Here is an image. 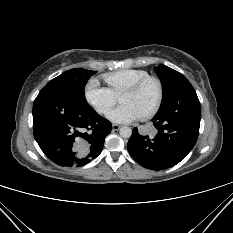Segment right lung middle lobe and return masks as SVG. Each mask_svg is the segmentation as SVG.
<instances>
[{"instance_id":"1","label":"right lung middle lobe","mask_w":233,"mask_h":233,"mask_svg":"<svg viewBox=\"0 0 233 233\" xmlns=\"http://www.w3.org/2000/svg\"><path fill=\"white\" fill-rule=\"evenodd\" d=\"M95 73L96 71L81 68L71 69L52 79L45 87L58 88L72 97L87 103L84 88L88 79Z\"/></svg>"}]
</instances>
